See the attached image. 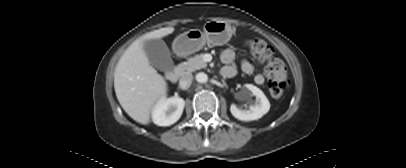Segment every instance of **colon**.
Returning a JSON list of instances; mask_svg holds the SVG:
<instances>
[{"mask_svg": "<svg viewBox=\"0 0 406 168\" xmlns=\"http://www.w3.org/2000/svg\"><path fill=\"white\" fill-rule=\"evenodd\" d=\"M246 50L266 63L269 91L273 97H281L288 84L287 71L282 60L274 56L271 45L262 39H251L246 42Z\"/></svg>", "mask_w": 406, "mask_h": 168, "instance_id": "obj_1", "label": "colon"}]
</instances>
